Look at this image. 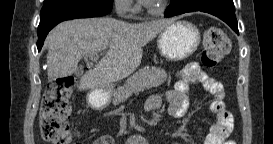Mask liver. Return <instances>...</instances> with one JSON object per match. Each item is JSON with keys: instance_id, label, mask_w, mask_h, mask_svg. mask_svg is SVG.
<instances>
[{"instance_id": "1", "label": "liver", "mask_w": 273, "mask_h": 144, "mask_svg": "<svg viewBox=\"0 0 273 144\" xmlns=\"http://www.w3.org/2000/svg\"><path fill=\"white\" fill-rule=\"evenodd\" d=\"M175 19L127 23L109 17L64 21L46 39L49 80L76 72L83 55L107 50L105 56L80 80L79 90L110 88L140 65L142 47Z\"/></svg>"}]
</instances>
